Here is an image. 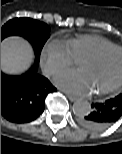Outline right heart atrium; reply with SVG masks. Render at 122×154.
Wrapping results in <instances>:
<instances>
[{
    "mask_svg": "<svg viewBox=\"0 0 122 154\" xmlns=\"http://www.w3.org/2000/svg\"><path fill=\"white\" fill-rule=\"evenodd\" d=\"M41 61L46 74L53 75L70 66L74 58L62 39H50L44 45L41 52Z\"/></svg>",
    "mask_w": 122,
    "mask_h": 154,
    "instance_id": "d8ad5b80",
    "label": "right heart atrium"
}]
</instances>
